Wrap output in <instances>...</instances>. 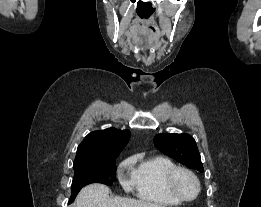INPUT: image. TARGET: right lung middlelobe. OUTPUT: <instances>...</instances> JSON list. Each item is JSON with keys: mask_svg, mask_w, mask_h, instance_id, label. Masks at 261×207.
<instances>
[{"mask_svg": "<svg viewBox=\"0 0 261 207\" xmlns=\"http://www.w3.org/2000/svg\"><path fill=\"white\" fill-rule=\"evenodd\" d=\"M113 158L107 162L80 163L74 165V179L71 186L69 203L73 202L77 194L85 185L102 183L112 185L116 179V167Z\"/></svg>", "mask_w": 261, "mask_h": 207, "instance_id": "right-lung-middle-lobe-1", "label": "right lung middle lobe"}]
</instances>
